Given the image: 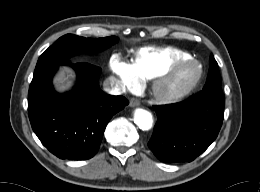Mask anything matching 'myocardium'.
Returning a JSON list of instances; mask_svg holds the SVG:
<instances>
[{
    "label": "myocardium",
    "mask_w": 260,
    "mask_h": 192,
    "mask_svg": "<svg viewBox=\"0 0 260 192\" xmlns=\"http://www.w3.org/2000/svg\"><path fill=\"white\" fill-rule=\"evenodd\" d=\"M188 67L195 69V75L188 83L174 90H163V86L167 82H169L182 69ZM202 75V67L197 61L192 59L179 61L172 65L167 71L154 78L150 86V93L156 101L161 103H170L177 101L187 96L198 86L202 79Z\"/></svg>",
    "instance_id": "obj_1"
}]
</instances>
